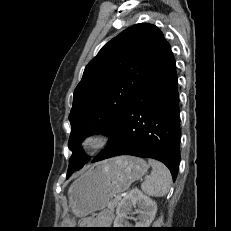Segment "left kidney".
I'll list each match as a JSON object with an SVG mask.
<instances>
[{"mask_svg": "<svg viewBox=\"0 0 231 231\" xmlns=\"http://www.w3.org/2000/svg\"><path fill=\"white\" fill-rule=\"evenodd\" d=\"M136 213H139L138 219L134 228H148L154 220L157 212V204L148 196L144 195L140 190H132L119 203L116 209V218L114 220V228H123L128 226L125 222L127 214L131 212L132 208H136Z\"/></svg>", "mask_w": 231, "mask_h": 231, "instance_id": "obj_1", "label": "left kidney"}]
</instances>
